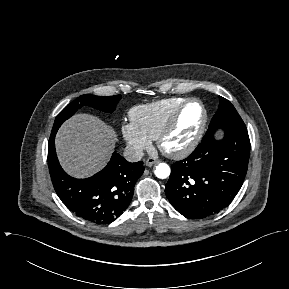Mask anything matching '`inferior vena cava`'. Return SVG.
Here are the masks:
<instances>
[{"label":"inferior vena cava","mask_w":289,"mask_h":289,"mask_svg":"<svg viewBox=\"0 0 289 289\" xmlns=\"http://www.w3.org/2000/svg\"><path fill=\"white\" fill-rule=\"evenodd\" d=\"M124 158L129 162H137L144 156L143 150L135 146H127L124 150Z\"/></svg>","instance_id":"1"}]
</instances>
